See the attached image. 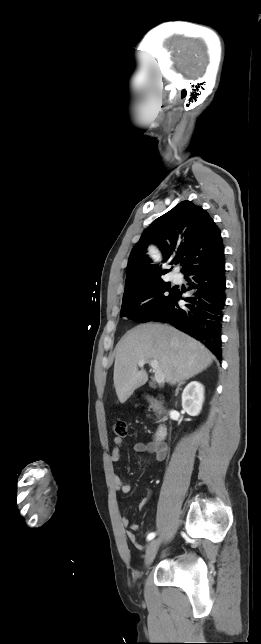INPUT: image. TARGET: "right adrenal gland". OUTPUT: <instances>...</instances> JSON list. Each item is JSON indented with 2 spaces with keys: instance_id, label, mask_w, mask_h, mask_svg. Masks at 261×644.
<instances>
[{
  "instance_id": "2a0ac1e0",
  "label": "right adrenal gland",
  "mask_w": 261,
  "mask_h": 644,
  "mask_svg": "<svg viewBox=\"0 0 261 644\" xmlns=\"http://www.w3.org/2000/svg\"><path fill=\"white\" fill-rule=\"evenodd\" d=\"M184 383H185V381H182L181 383H179V385H178V386H177V388H176V394L178 393V391H179V389H180V386H181L182 384H184Z\"/></svg>"
}]
</instances>
